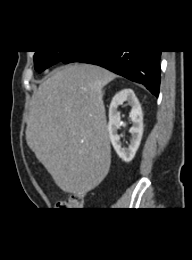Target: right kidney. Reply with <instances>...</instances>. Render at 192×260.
Wrapping results in <instances>:
<instances>
[{
    "label": "right kidney",
    "instance_id": "ca27d5eb",
    "mask_svg": "<svg viewBox=\"0 0 192 260\" xmlns=\"http://www.w3.org/2000/svg\"><path fill=\"white\" fill-rule=\"evenodd\" d=\"M125 101L131 106V111L129 117L133 123L129 132L131 134L129 146L122 147L120 141V136L118 135V130L120 128V112L118 111L119 105L123 104ZM110 141L113 145L118 156L124 162H130L138 150L140 145L142 135H143V115L141 110V105L131 89H123L118 92L112 99L109 107V123L107 126Z\"/></svg>",
    "mask_w": 192,
    "mask_h": 260
}]
</instances>
